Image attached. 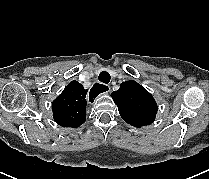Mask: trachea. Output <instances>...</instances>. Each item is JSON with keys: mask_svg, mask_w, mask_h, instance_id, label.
<instances>
[{"mask_svg": "<svg viewBox=\"0 0 209 179\" xmlns=\"http://www.w3.org/2000/svg\"><path fill=\"white\" fill-rule=\"evenodd\" d=\"M110 74L106 71H103L99 74V81L105 84L110 82Z\"/></svg>", "mask_w": 209, "mask_h": 179, "instance_id": "trachea-1", "label": "trachea"}]
</instances>
